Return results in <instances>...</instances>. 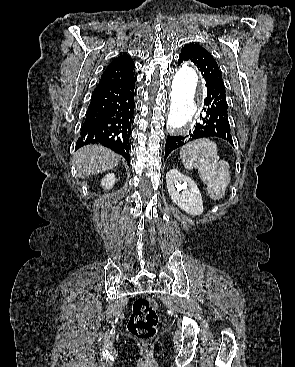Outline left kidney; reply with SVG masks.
I'll use <instances>...</instances> for the list:
<instances>
[{"label": "left kidney", "instance_id": "1", "mask_svg": "<svg viewBox=\"0 0 295 367\" xmlns=\"http://www.w3.org/2000/svg\"><path fill=\"white\" fill-rule=\"evenodd\" d=\"M166 184L172 201L179 208L193 216L203 213L202 197L194 180L171 169L166 174Z\"/></svg>", "mask_w": 295, "mask_h": 367}]
</instances>
